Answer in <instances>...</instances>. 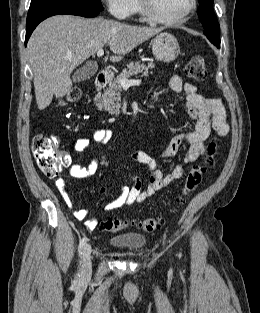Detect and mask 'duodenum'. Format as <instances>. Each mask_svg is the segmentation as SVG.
<instances>
[{
	"label": "duodenum",
	"mask_w": 260,
	"mask_h": 313,
	"mask_svg": "<svg viewBox=\"0 0 260 313\" xmlns=\"http://www.w3.org/2000/svg\"><path fill=\"white\" fill-rule=\"evenodd\" d=\"M109 77L106 71H100L95 78L94 91L97 92L108 85Z\"/></svg>",
	"instance_id": "410a0bca"
}]
</instances>
